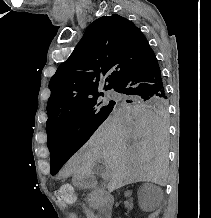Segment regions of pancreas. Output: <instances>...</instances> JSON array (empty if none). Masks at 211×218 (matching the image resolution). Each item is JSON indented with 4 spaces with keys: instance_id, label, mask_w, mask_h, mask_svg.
<instances>
[{
    "instance_id": "obj_1",
    "label": "pancreas",
    "mask_w": 211,
    "mask_h": 218,
    "mask_svg": "<svg viewBox=\"0 0 211 218\" xmlns=\"http://www.w3.org/2000/svg\"><path fill=\"white\" fill-rule=\"evenodd\" d=\"M107 194V190H91L88 200L90 208L98 210L100 205H110L112 201Z\"/></svg>"
}]
</instances>
